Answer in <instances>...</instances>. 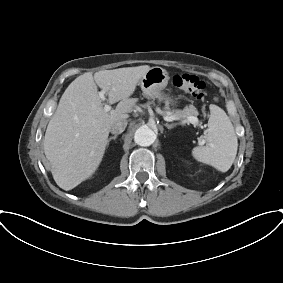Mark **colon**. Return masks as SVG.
<instances>
[{
	"label": "colon",
	"instance_id": "colon-1",
	"mask_svg": "<svg viewBox=\"0 0 283 283\" xmlns=\"http://www.w3.org/2000/svg\"><path fill=\"white\" fill-rule=\"evenodd\" d=\"M173 85L197 100H202L206 95V84L195 75L176 74L172 79Z\"/></svg>",
	"mask_w": 283,
	"mask_h": 283
}]
</instances>
